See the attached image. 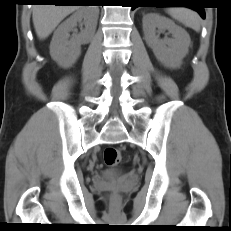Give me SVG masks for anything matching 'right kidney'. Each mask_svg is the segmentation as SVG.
I'll list each match as a JSON object with an SVG mask.
<instances>
[{
	"mask_svg": "<svg viewBox=\"0 0 231 231\" xmlns=\"http://www.w3.org/2000/svg\"><path fill=\"white\" fill-rule=\"evenodd\" d=\"M98 14L96 7H81L56 29L50 43V55L60 66H71L81 53V45L92 40ZM81 22L85 28L80 33H73L70 38L69 33Z\"/></svg>",
	"mask_w": 231,
	"mask_h": 231,
	"instance_id": "obj_1",
	"label": "right kidney"
}]
</instances>
